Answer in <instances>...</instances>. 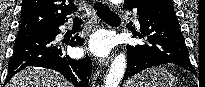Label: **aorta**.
Segmentation results:
<instances>
[{
	"mask_svg": "<svg viewBox=\"0 0 205 87\" xmlns=\"http://www.w3.org/2000/svg\"><path fill=\"white\" fill-rule=\"evenodd\" d=\"M113 4H120L121 0H110ZM126 69V56L118 54L113 60L108 75L104 82V87H119Z\"/></svg>",
	"mask_w": 205,
	"mask_h": 87,
	"instance_id": "762f6f07",
	"label": "aorta"
}]
</instances>
